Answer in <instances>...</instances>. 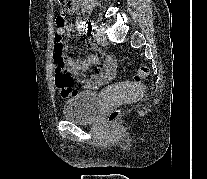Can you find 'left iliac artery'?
Here are the masks:
<instances>
[{
	"label": "left iliac artery",
	"instance_id": "44dca946",
	"mask_svg": "<svg viewBox=\"0 0 207 179\" xmlns=\"http://www.w3.org/2000/svg\"><path fill=\"white\" fill-rule=\"evenodd\" d=\"M88 28H89V29H92V28H93V29H96L95 23H94V22H89V23H88Z\"/></svg>",
	"mask_w": 207,
	"mask_h": 179
}]
</instances>
